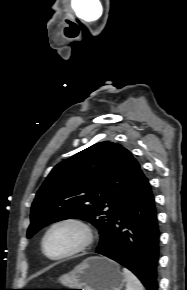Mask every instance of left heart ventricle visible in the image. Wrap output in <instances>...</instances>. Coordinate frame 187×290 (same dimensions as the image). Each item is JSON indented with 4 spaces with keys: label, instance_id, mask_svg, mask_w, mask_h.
Segmentation results:
<instances>
[{
    "label": "left heart ventricle",
    "instance_id": "left-heart-ventricle-1",
    "mask_svg": "<svg viewBox=\"0 0 187 290\" xmlns=\"http://www.w3.org/2000/svg\"><path fill=\"white\" fill-rule=\"evenodd\" d=\"M81 233L74 227L62 226L55 229L46 241V251L52 256L61 255L76 247L81 241Z\"/></svg>",
    "mask_w": 187,
    "mask_h": 290
}]
</instances>
